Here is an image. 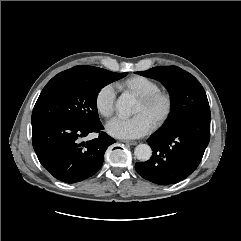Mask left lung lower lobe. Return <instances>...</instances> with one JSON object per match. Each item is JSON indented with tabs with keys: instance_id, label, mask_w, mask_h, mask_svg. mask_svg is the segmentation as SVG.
I'll list each match as a JSON object with an SVG mask.
<instances>
[{
	"instance_id": "obj_1",
	"label": "left lung lower lobe",
	"mask_w": 241,
	"mask_h": 241,
	"mask_svg": "<svg viewBox=\"0 0 241 241\" xmlns=\"http://www.w3.org/2000/svg\"><path fill=\"white\" fill-rule=\"evenodd\" d=\"M210 116H201L169 130H159L147 142L152 156L135 169L146 180L170 185L188 177L199 165L210 139Z\"/></svg>"
}]
</instances>
